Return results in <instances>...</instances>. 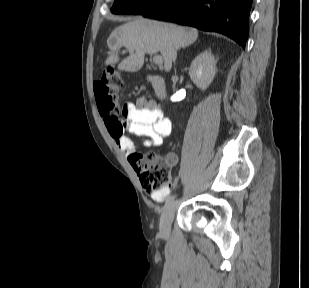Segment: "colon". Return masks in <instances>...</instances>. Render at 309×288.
<instances>
[{
  "label": "colon",
  "instance_id": "obj_1",
  "mask_svg": "<svg viewBox=\"0 0 309 288\" xmlns=\"http://www.w3.org/2000/svg\"><path fill=\"white\" fill-rule=\"evenodd\" d=\"M122 79L118 72L110 67L105 68L100 78L94 83L97 104L103 118L125 123L129 117L128 104L117 103ZM131 160L136 164L140 183L149 194H157L167 189L171 183V165L155 153L141 155L135 153Z\"/></svg>",
  "mask_w": 309,
  "mask_h": 288
}]
</instances>
